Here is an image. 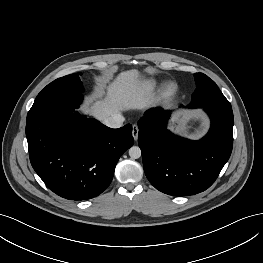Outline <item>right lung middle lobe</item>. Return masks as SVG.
Masks as SVG:
<instances>
[{
	"label": "right lung middle lobe",
	"instance_id": "dd1d6c3e",
	"mask_svg": "<svg viewBox=\"0 0 263 263\" xmlns=\"http://www.w3.org/2000/svg\"><path fill=\"white\" fill-rule=\"evenodd\" d=\"M78 74H70L48 84L36 97L28 112L26 123L40 117L56 106L78 107L84 91Z\"/></svg>",
	"mask_w": 263,
	"mask_h": 263
}]
</instances>
